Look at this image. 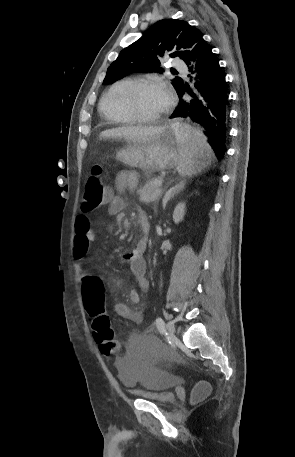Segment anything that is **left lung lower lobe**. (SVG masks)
<instances>
[{"mask_svg":"<svg viewBox=\"0 0 295 457\" xmlns=\"http://www.w3.org/2000/svg\"><path fill=\"white\" fill-rule=\"evenodd\" d=\"M186 64L191 65L189 70L195 75V86L201 93V99L195 98L190 103L183 101L185 92L194 96L188 85L183 83L177 91L179 105L171 118L190 117L198 122L204 128L202 133L214 154L222 159L226 151L228 105V91L222 68L203 38L194 46Z\"/></svg>","mask_w":295,"mask_h":457,"instance_id":"0a47b994","label":"left lung lower lobe"}]
</instances>
